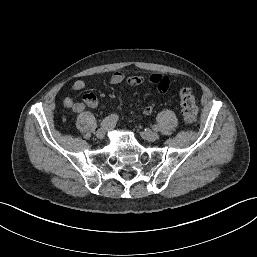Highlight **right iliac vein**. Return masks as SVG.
I'll return each instance as SVG.
<instances>
[{
	"instance_id": "1",
	"label": "right iliac vein",
	"mask_w": 257,
	"mask_h": 257,
	"mask_svg": "<svg viewBox=\"0 0 257 257\" xmlns=\"http://www.w3.org/2000/svg\"><path fill=\"white\" fill-rule=\"evenodd\" d=\"M106 132H107V128L106 127L99 128L96 131V137L101 140V139H103L105 137Z\"/></svg>"
}]
</instances>
